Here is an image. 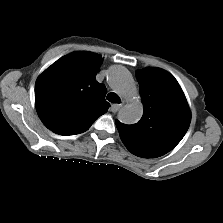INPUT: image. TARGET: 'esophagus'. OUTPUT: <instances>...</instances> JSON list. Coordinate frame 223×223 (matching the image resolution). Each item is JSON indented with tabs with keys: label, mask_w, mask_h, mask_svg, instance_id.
<instances>
[{
	"label": "esophagus",
	"mask_w": 223,
	"mask_h": 223,
	"mask_svg": "<svg viewBox=\"0 0 223 223\" xmlns=\"http://www.w3.org/2000/svg\"><path fill=\"white\" fill-rule=\"evenodd\" d=\"M121 108V104H112L110 107L111 112L116 113Z\"/></svg>",
	"instance_id": "34e87169"
}]
</instances>
